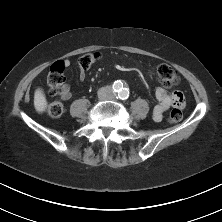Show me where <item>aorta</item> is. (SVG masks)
Returning a JSON list of instances; mask_svg holds the SVG:
<instances>
[{"instance_id":"762f6f07","label":"aorta","mask_w":222,"mask_h":222,"mask_svg":"<svg viewBox=\"0 0 222 222\" xmlns=\"http://www.w3.org/2000/svg\"><path fill=\"white\" fill-rule=\"evenodd\" d=\"M115 87L119 88L118 89V94H119L120 97L124 98L128 95V91L125 88L121 87L120 84H116Z\"/></svg>"}]
</instances>
